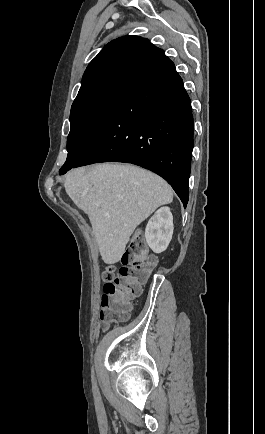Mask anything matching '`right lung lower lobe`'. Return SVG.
I'll use <instances>...</instances> for the list:
<instances>
[{
	"label": "right lung lower lobe",
	"mask_w": 265,
	"mask_h": 434,
	"mask_svg": "<svg viewBox=\"0 0 265 434\" xmlns=\"http://www.w3.org/2000/svg\"><path fill=\"white\" fill-rule=\"evenodd\" d=\"M193 131L190 98L173 62L162 54L134 75L99 135L71 168L99 162L139 165L163 177L186 207Z\"/></svg>",
	"instance_id": "obj_1"
}]
</instances>
